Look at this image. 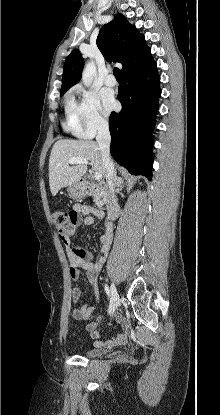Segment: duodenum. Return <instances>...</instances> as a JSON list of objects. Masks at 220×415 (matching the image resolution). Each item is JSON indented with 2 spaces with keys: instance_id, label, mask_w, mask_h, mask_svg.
I'll list each match as a JSON object with an SVG mask.
<instances>
[{
  "instance_id": "obj_1",
  "label": "duodenum",
  "mask_w": 220,
  "mask_h": 415,
  "mask_svg": "<svg viewBox=\"0 0 220 415\" xmlns=\"http://www.w3.org/2000/svg\"><path fill=\"white\" fill-rule=\"evenodd\" d=\"M81 186L82 188L90 193V192H99L101 194H105L109 196V199L107 201V208H108V220L111 223V221L115 220L120 212V205L119 203L113 199L112 197H110V191H109V187L106 184H91L87 181H81Z\"/></svg>"
}]
</instances>
